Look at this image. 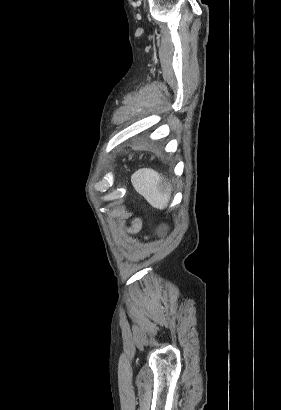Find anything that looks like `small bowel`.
I'll list each match as a JSON object with an SVG mask.
<instances>
[{
	"instance_id": "c3829d8e",
	"label": "small bowel",
	"mask_w": 281,
	"mask_h": 410,
	"mask_svg": "<svg viewBox=\"0 0 281 410\" xmlns=\"http://www.w3.org/2000/svg\"><path fill=\"white\" fill-rule=\"evenodd\" d=\"M139 230V223H135L131 228V233H137Z\"/></svg>"
}]
</instances>
